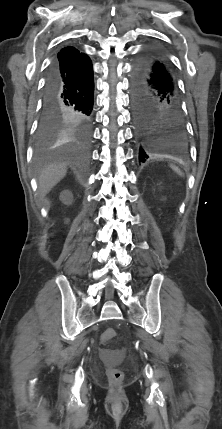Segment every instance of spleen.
<instances>
[{
    "label": "spleen",
    "instance_id": "1",
    "mask_svg": "<svg viewBox=\"0 0 222 429\" xmlns=\"http://www.w3.org/2000/svg\"><path fill=\"white\" fill-rule=\"evenodd\" d=\"M172 167V169L175 171V172H177L179 175H182V172L180 171V169L178 168V167H176V166H171Z\"/></svg>",
    "mask_w": 222,
    "mask_h": 429
}]
</instances>
